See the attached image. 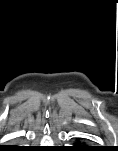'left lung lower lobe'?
<instances>
[{
  "mask_svg": "<svg viewBox=\"0 0 118 151\" xmlns=\"http://www.w3.org/2000/svg\"><path fill=\"white\" fill-rule=\"evenodd\" d=\"M72 151H96L94 147L91 146H81L80 143H78L77 146H74V148L71 149Z\"/></svg>",
  "mask_w": 118,
  "mask_h": 151,
  "instance_id": "obj_1",
  "label": "left lung lower lobe"
}]
</instances>
